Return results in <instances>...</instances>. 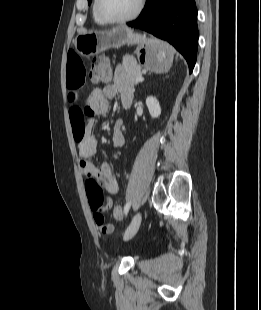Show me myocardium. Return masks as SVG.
I'll use <instances>...</instances> for the list:
<instances>
[{
    "mask_svg": "<svg viewBox=\"0 0 261 310\" xmlns=\"http://www.w3.org/2000/svg\"><path fill=\"white\" fill-rule=\"evenodd\" d=\"M145 0H138L137 6L135 10L128 16L122 17V18H109L105 16L101 10H100V0H94L93 6H94V11L98 18L103 21L106 24H122V23H127L130 22L134 19H136L140 13L143 10Z\"/></svg>",
    "mask_w": 261,
    "mask_h": 310,
    "instance_id": "f54148a6",
    "label": "myocardium"
}]
</instances>
